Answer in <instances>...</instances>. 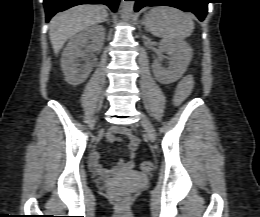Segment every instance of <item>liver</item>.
Returning <instances> with one entry per match:
<instances>
[{
    "label": "liver",
    "mask_w": 260,
    "mask_h": 217,
    "mask_svg": "<svg viewBox=\"0 0 260 217\" xmlns=\"http://www.w3.org/2000/svg\"><path fill=\"white\" fill-rule=\"evenodd\" d=\"M107 16L105 8L98 5H78L55 15L49 24L54 53L57 55L70 37L88 26L104 22Z\"/></svg>",
    "instance_id": "obj_1"
}]
</instances>
